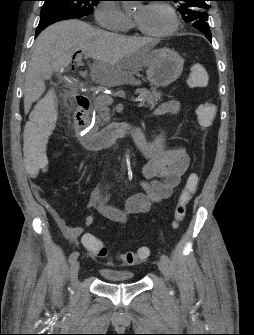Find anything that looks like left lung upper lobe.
I'll list each match as a JSON object with an SVG mask.
<instances>
[{
  "label": "left lung upper lobe",
  "mask_w": 254,
  "mask_h": 335,
  "mask_svg": "<svg viewBox=\"0 0 254 335\" xmlns=\"http://www.w3.org/2000/svg\"><path fill=\"white\" fill-rule=\"evenodd\" d=\"M179 3L178 11L183 19L192 22L193 26L205 34L207 38H211L210 28L208 26V5L207 0H172Z\"/></svg>",
  "instance_id": "left-lung-upper-lobe-1"
}]
</instances>
